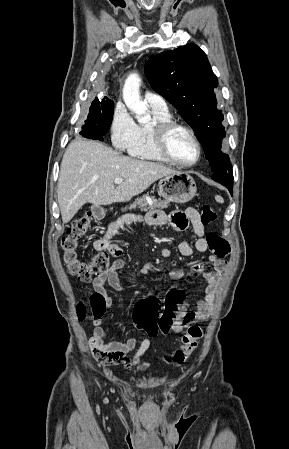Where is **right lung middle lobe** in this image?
Returning <instances> with one entry per match:
<instances>
[{"label":"right lung middle lobe","mask_w":289,"mask_h":449,"mask_svg":"<svg viewBox=\"0 0 289 449\" xmlns=\"http://www.w3.org/2000/svg\"><path fill=\"white\" fill-rule=\"evenodd\" d=\"M114 112V102L110 100H99L95 98L89 108L86 125L80 134L89 139L103 141V136L110 128Z\"/></svg>","instance_id":"1"}]
</instances>
